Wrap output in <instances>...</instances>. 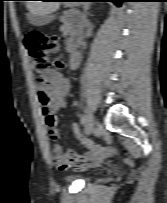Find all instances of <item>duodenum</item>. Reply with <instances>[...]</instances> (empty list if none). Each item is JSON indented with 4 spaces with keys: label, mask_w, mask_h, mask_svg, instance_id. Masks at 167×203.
Masks as SVG:
<instances>
[{
    "label": "duodenum",
    "mask_w": 167,
    "mask_h": 203,
    "mask_svg": "<svg viewBox=\"0 0 167 203\" xmlns=\"http://www.w3.org/2000/svg\"><path fill=\"white\" fill-rule=\"evenodd\" d=\"M60 19L69 25V33L65 39V47L68 53H73L82 31L80 19L73 12L64 13Z\"/></svg>",
    "instance_id": "410a0bca"
}]
</instances>
